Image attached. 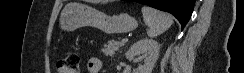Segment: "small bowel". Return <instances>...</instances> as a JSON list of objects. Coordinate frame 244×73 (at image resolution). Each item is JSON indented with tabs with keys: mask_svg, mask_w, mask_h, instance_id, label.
I'll use <instances>...</instances> for the list:
<instances>
[{
	"mask_svg": "<svg viewBox=\"0 0 244 73\" xmlns=\"http://www.w3.org/2000/svg\"><path fill=\"white\" fill-rule=\"evenodd\" d=\"M102 67V62L98 58H91L87 62L88 73H100Z\"/></svg>",
	"mask_w": 244,
	"mask_h": 73,
	"instance_id": "1",
	"label": "small bowel"
}]
</instances>
